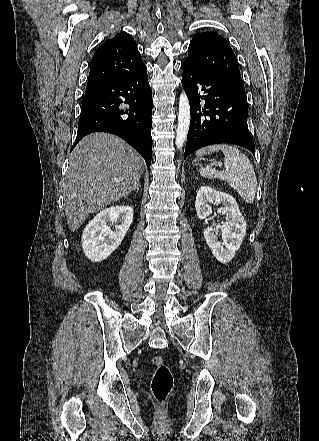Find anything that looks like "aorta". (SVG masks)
Returning <instances> with one entry per match:
<instances>
[{"label": "aorta", "instance_id": "1", "mask_svg": "<svg viewBox=\"0 0 319 441\" xmlns=\"http://www.w3.org/2000/svg\"><path fill=\"white\" fill-rule=\"evenodd\" d=\"M190 104L187 95L183 92L179 99L178 127L176 132L175 144L177 148H181L186 141L190 126Z\"/></svg>", "mask_w": 319, "mask_h": 441}]
</instances>
